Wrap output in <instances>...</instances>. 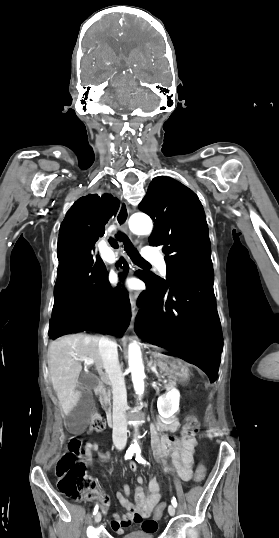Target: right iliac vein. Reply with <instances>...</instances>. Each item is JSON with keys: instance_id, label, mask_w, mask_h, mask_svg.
Here are the masks:
<instances>
[{"instance_id": "63e3f726", "label": "right iliac vein", "mask_w": 279, "mask_h": 538, "mask_svg": "<svg viewBox=\"0 0 279 538\" xmlns=\"http://www.w3.org/2000/svg\"><path fill=\"white\" fill-rule=\"evenodd\" d=\"M101 517L102 516L100 512L96 513L95 518H94L95 523H99L101 521Z\"/></svg>"}]
</instances>
